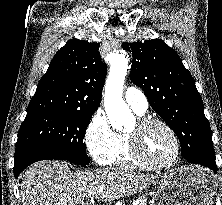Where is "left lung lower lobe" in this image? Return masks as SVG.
<instances>
[{
	"instance_id": "obj_1",
	"label": "left lung lower lobe",
	"mask_w": 222,
	"mask_h": 205,
	"mask_svg": "<svg viewBox=\"0 0 222 205\" xmlns=\"http://www.w3.org/2000/svg\"><path fill=\"white\" fill-rule=\"evenodd\" d=\"M184 157L189 163L199 164L212 169L215 173L217 172V165L214 160L205 159L194 155H185Z\"/></svg>"
}]
</instances>
